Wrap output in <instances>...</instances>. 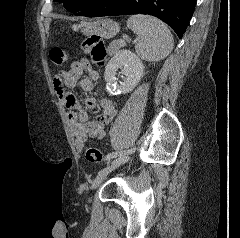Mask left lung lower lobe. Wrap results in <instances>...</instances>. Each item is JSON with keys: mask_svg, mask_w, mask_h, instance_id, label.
Here are the masks:
<instances>
[{"mask_svg": "<svg viewBox=\"0 0 240 238\" xmlns=\"http://www.w3.org/2000/svg\"><path fill=\"white\" fill-rule=\"evenodd\" d=\"M196 0H93L79 16L101 17L148 14L166 22L182 38Z\"/></svg>", "mask_w": 240, "mask_h": 238, "instance_id": "1", "label": "left lung lower lobe"}]
</instances>
